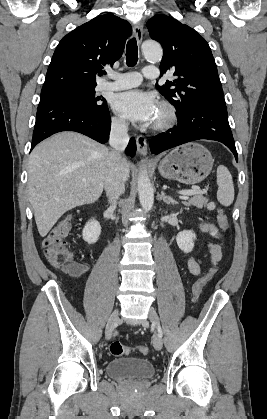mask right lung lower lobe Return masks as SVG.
Wrapping results in <instances>:
<instances>
[{
	"instance_id": "98d812e1",
	"label": "right lung lower lobe",
	"mask_w": 267,
	"mask_h": 419,
	"mask_svg": "<svg viewBox=\"0 0 267 419\" xmlns=\"http://www.w3.org/2000/svg\"><path fill=\"white\" fill-rule=\"evenodd\" d=\"M111 118L108 107L93 112L81 105L52 95L41 94L36 114L31 149L40 141L61 131H75L82 133L100 143L109 139ZM136 142L131 138L126 153L134 156Z\"/></svg>"
}]
</instances>
